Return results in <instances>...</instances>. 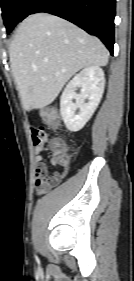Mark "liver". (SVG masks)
<instances>
[{
	"label": "liver",
	"mask_w": 134,
	"mask_h": 281,
	"mask_svg": "<svg viewBox=\"0 0 134 281\" xmlns=\"http://www.w3.org/2000/svg\"><path fill=\"white\" fill-rule=\"evenodd\" d=\"M9 56L26 110L51 104L77 71L106 66L109 59L107 49L97 37L47 13H35L22 21Z\"/></svg>",
	"instance_id": "6515ba94"
}]
</instances>
